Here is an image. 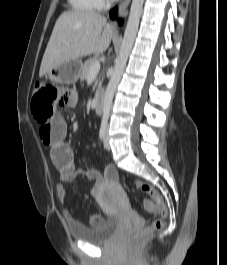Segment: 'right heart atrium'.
Wrapping results in <instances>:
<instances>
[{"label": "right heart atrium", "mask_w": 227, "mask_h": 265, "mask_svg": "<svg viewBox=\"0 0 227 265\" xmlns=\"http://www.w3.org/2000/svg\"><path fill=\"white\" fill-rule=\"evenodd\" d=\"M100 6H104L108 3V0H99Z\"/></svg>", "instance_id": "right-heart-atrium-1"}]
</instances>
